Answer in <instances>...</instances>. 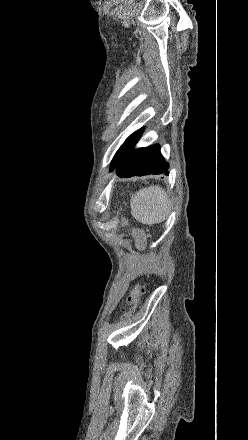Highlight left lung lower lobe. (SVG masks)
Returning a JSON list of instances; mask_svg holds the SVG:
<instances>
[{
	"instance_id": "obj_1",
	"label": "left lung lower lobe",
	"mask_w": 248,
	"mask_h": 440,
	"mask_svg": "<svg viewBox=\"0 0 248 440\" xmlns=\"http://www.w3.org/2000/svg\"><path fill=\"white\" fill-rule=\"evenodd\" d=\"M116 168V173L121 178L149 174L169 175V165L161 155L159 145L132 149Z\"/></svg>"
}]
</instances>
